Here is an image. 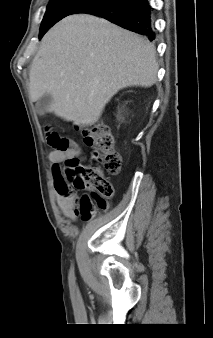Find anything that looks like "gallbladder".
I'll return each mask as SVG.
<instances>
[{
	"instance_id": "1",
	"label": "gallbladder",
	"mask_w": 213,
	"mask_h": 338,
	"mask_svg": "<svg viewBox=\"0 0 213 338\" xmlns=\"http://www.w3.org/2000/svg\"><path fill=\"white\" fill-rule=\"evenodd\" d=\"M52 102V96L50 94H44L38 101L36 102V110L39 115H44L47 111V108Z\"/></svg>"
}]
</instances>
